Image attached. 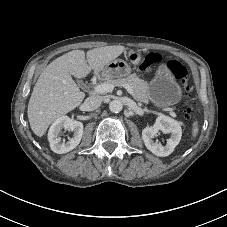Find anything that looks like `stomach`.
<instances>
[{
    "instance_id": "obj_1",
    "label": "stomach",
    "mask_w": 227,
    "mask_h": 227,
    "mask_svg": "<svg viewBox=\"0 0 227 227\" xmlns=\"http://www.w3.org/2000/svg\"><path fill=\"white\" fill-rule=\"evenodd\" d=\"M128 60L137 65L141 61V54L138 51L130 50ZM131 72L130 65L122 59H114L99 71L104 79L121 78ZM148 99L156 107H166L178 103L182 92L175 82L169 65H164L149 83Z\"/></svg>"
}]
</instances>
